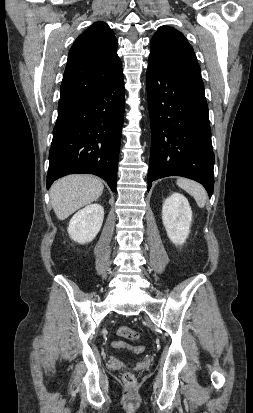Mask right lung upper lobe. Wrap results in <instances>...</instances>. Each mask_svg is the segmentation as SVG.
Instances as JSON below:
<instances>
[{"label": "right lung upper lobe", "mask_w": 253, "mask_h": 413, "mask_svg": "<svg viewBox=\"0 0 253 413\" xmlns=\"http://www.w3.org/2000/svg\"><path fill=\"white\" fill-rule=\"evenodd\" d=\"M118 41L104 22H96L77 37L67 60L58 107L102 89L122 73Z\"/></svg>", "instance_id": "cb5924a9"}]
</instances>
